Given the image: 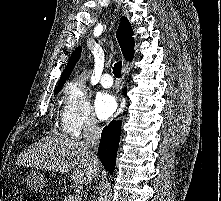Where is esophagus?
Returning <instances> with one entry per match:
<instances>
[{"label":"esophagus","instance_id":"1","mask_svg":"<svg viewBox=\"0 0 221 201\" xmlns=\"http://www.w3.org/2000/svg\"><path fill=\"white\" fill-rule=\"evenodd\" d=\"M123 109H124V103L121 102L120 107L118 109V114L122 113Z\"/></svg>","mask_w":221,"mask_h":201}]
</instances>
